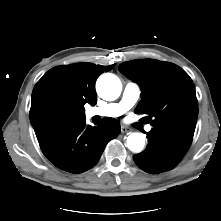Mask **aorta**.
I'll use <instances>...</instances> for the list:
<instances>
[{"mask_svg": "<svg viewBox=\"0 0 221 221\" xmlns=\"http://www.w3.org/2000/svg\"><path fill=\"white\" fill-rule=\"evenodd\" d=\"M99 96L105 100L112 101L119 97L122 84L119 78L111 73L102 74L96 83ZM145 145V138L141 133H131L127 138V147L132 152H141Z\"/></svg>", "mask_w": 221, "mask_h": 221, "instance_id": "aorta-1", "label": "aorta"}]
</instances>
